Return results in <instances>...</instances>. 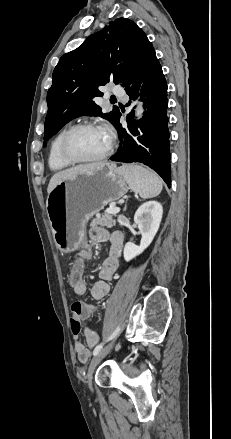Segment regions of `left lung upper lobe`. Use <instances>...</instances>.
<instances>
[{
    "label": "left lung upper lobe",
    "mask_w": 231,
    "mask_h": 439,
    "mask_svg": "<svg viewBox=\"0 0 231 439\" xmlns=\"http://www.w3.org/2000/svg\"><path fill=\"white\" fill-rule=\"evenodd\" d=\"M150 46L133 21L119 18L64 54L53 71L47 93L43 146L70 120L82 115L100 116L115 126L119 110L102 113L93 98L103 95L98 87L109 81L124 86Z\"/></svg>",
    "instance_id": "left-lung-upper-lobe-1"
}]
</instances>
